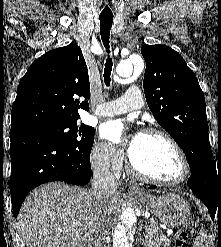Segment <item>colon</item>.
I'll use <instances>...</instances> for the list:
<instances>
[{"label":"colon","instance_id":"1","mask_svg":"<svg viewBox=\"0 0 221 247\" xmlns=\"http://www.w3.org/2000/svg\"><path fill=\"white\" fill-rule=\"evenodd\" d=\"M194 224H195L194 220H190L187 223V227L192 228ZM186 239H187V232L184 230L180 231L175 240L174 247H187Z\"/></svg>","mask_w":221,"mask_h":247}]
</instances>
